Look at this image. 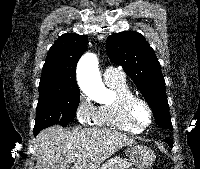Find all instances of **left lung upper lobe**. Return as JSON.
<instances>
[{
  "instance_id": "obj_1",
  "label": "left lung upper lobe",
  "mask_w": 200,
  "mask_h": 169,
  "mask_svg": "<svg viewBox=\"0 0 200 169\" xmlns=\"http://www.w3.org/2000/svg\"><path fill=\"white\" fill-rule=\"evenodd\" d=\"M110 60L121 65L152 108L159 127L172 130L165 81L152 47L135 31L112 34L106 42Z\"/></svg>"
}]
</instances>
